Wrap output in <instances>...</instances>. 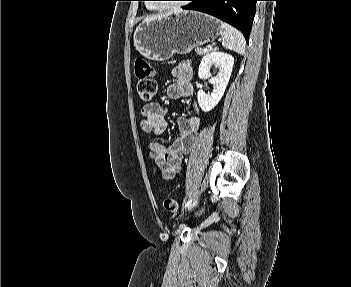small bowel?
<instances>
[{"mask_svg": "<svg viewBox=\"0 0 351 287\" xmlns=\"http://www.w3.org/2000/svg\"><path fill=\"white\" fill-rule=\"evenodd\" d=\"M175 82L167 89V96L171 99L189 98L193 95L191 68L186 65L176 66L172 70ZM193 114L178 118L179 136L170 146L154 141L149 144L150 157L157 166L163 179L173 180L182 168L183 156L195 146V135L200 128L198 109L192 105ZM141 129L144 133L162 134L167 128L165 119L166 108L161 103H150L142 109Z\"/></svg>", "mask_w": 351, "mask_h": 287, "instance_id": "1", "label": "small bowel"}]
</instances>
